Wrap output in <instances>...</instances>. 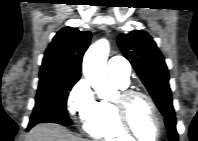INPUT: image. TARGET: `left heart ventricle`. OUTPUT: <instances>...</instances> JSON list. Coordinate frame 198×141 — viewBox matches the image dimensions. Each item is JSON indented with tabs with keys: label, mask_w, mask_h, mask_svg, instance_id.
Here are the masks:
<instances>
[{
	"label": "left heart ventricle",
	"mask_w": 198,
	"mask_h": 141,
	"mask_svg": "<svg viewBox=\"0 0 198 141\" xmlns=\"http://www.w3.org/2000/svg\"><path fill=\"white\" fill-rule=\"evenodd\" d=\"M129 119L138 137L144 141H153L157 135L154 114L143 98H135L129 108Z\"/></svg>",
	"instance_id": "1"
}]
</instances>
